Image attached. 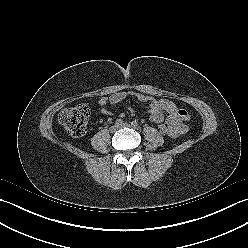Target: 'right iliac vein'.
Wrapping results in <instances>:
<instances>
[{"instance_id": "obj_1", "label": "right iliac vein", "mask_w": 248, "mask_h": 248, "mask_svg": "<svg viewBox=\"0 0 248 248\" xmlns=\"http://www.w3.org/2000/svg\"><path fill=\"white\" fill-rule=\"evenodd\" d=\"M118 128H119V125H116V124H115V125H113V126L110 127V132L113 133V132L117 131Z\"/></svg>"}]
</instances>
